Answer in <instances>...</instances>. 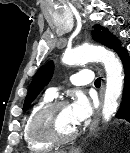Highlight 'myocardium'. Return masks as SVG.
I'll return each mask as SVG.
<instances>
[{"mask_svg": "<svg viewBox=\"0 0 130 153\" xmlns=\"http://www.w3.org/2000/svg\"><path fill=\"white\" fill-rule=\"evenodd\" d=\"M68 106L67 101L57 100L52 101L41 107L33 116L31 121V131L34 136L52 142V143H68L75 139L78 134V129L75 128L68 134H61L57 131L54 125V116L57 111Z\"/></svg>", "mask_w": 130, "mask_h": 153, "instance_id": "1", "label": "myocardium"}]
</instances>
